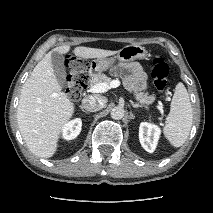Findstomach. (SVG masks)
Masks as SVG:
<instances>
[{
	"mask_svg": "<svg viewBox=\"0 0 213 213\" xmlns=\"http://www.w3.org/2000/svg\"><path fill=\"white\" fill-rule=\"evenodd\" d=\"M147 55L148 52L145 47L136 44L127 45L117 51L116 56L112 58H98L90 62L89 74L95 76L96 74L106 71L110 69L116 61L127 63L137 59H145Z\"/></svg>",
	"mask_w": 213,
	"mask_h": 213,
	"instance_id": "1",
	"label": "stomach"
}]
</instances>
